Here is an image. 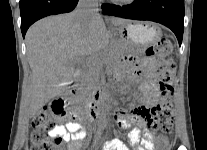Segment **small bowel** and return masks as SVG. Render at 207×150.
Returning a JSON list of instances; mask_svg holds the SVG:
<instances>
[{"label": "small bowel", "mask_w": 207, "mask_h": 150, "mask_svg": "<svg viewBox=\"0 0 207 150\" xmlns=\"http://www.w3.org/2000/svg\"><path fill=\"white\" fill-rule=\"evenodd\" d=\"M156 63L152 58L143 59L138 68H132L130 75L140 81L139 91L144 104L133 109L129 115H124L120 110L115 114V121L121 129H130L128 138L134 150H153V143L148 140V132L142 137L147 114L150 107L159 98L155 81ZM49 134L59 138L67 144V150H80L86 137V132L76 121H68L65 124L56 125ZM131 145H125V140H104V145H100V150H131Z\"/></svg>", "instance_id": "obj_1"}]
</instances>
